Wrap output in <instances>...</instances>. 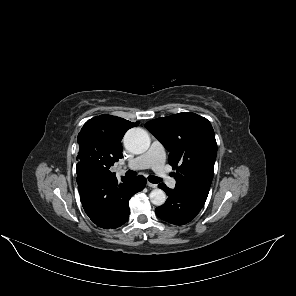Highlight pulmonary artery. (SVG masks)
Wrapping results in <instances>:
<instances>
[{
  "label": "pulmonary artery",
  "mask_w": 296,
  "mask_h": 296,
  "mask_svg": "<svg viewBox=\"0 0 296 296\" xmlns=\"http://www.w3.org/2000/svg\"><path fill=\"white\" fill-rule=\"evenodd\" d=\"M152 169L157 173L162 180L165 181L167 186L171 189L175 188L176 180L167 175L165 170V151L163 145L158 141L154 140L149 148V150L129 161L126 165L121 166L120 169Z\"/></svg>",
  "instance_id": "1"
}]
</instances>
